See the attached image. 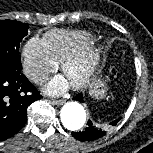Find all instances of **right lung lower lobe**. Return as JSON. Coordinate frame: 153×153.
I'll return each instance as SVG.
<instances>
[{
  "label": "right lung lower lobe",
  "mask_w": 153,
  "mask_h": 153,
  "mask_svg": "<svg viewBox=\"0 0 153 153\" xmlns=\"http://www.w3.org/2000/svg\"><path fill=\"white\" fill-rule=\"evenodd\" d=\"M42 96L21 70L0 64V140L17 133L27 120V108Z\"/></svg>",
  "instance_id": "obj_1"
}]
</instances>
